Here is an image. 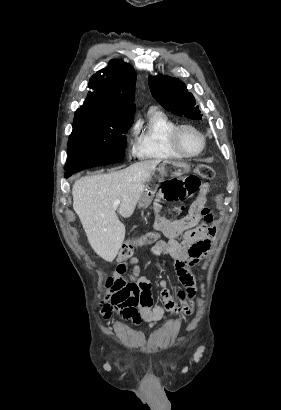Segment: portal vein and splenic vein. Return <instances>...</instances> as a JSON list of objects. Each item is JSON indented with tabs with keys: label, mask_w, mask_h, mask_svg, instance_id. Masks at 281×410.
I'll use <instances>...</instances> for the list:
<instances>
[{
	"label": "portal vein and splenic vein",
	"mask_w": 281,
	"mask_h": 410,
	"mask_svg": "<svg viewBox=\"0 0 281 410\" xmlns=\"http://www.w3.org/2000/svg\"><path fill=\"white\" fill-rule=\"evenodd\" d=\"M120 200L119 199H116L115 201H114V206H118L119 204H120Z\"/></svg>",
	"instance_id": "obj_1"
}]
</instances>
